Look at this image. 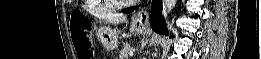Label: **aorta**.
<instances>
[{
    "instance_id": "aorta-1",
    "label": "aorta",
    "mask_w": 261,
    "mask_h": 59,
    "mask_svg": "<svg viewBox=\"0 0 261 59\" xmlns=\"http://www.w3.org/2000/svg\"><path fill=\"white\" fill-rule=\"evenodd\" d=\"M177 3V0H163V11H162V15L164 17L168 16L173 8L175 7Z\"/></svg>"
}]
</instances>
